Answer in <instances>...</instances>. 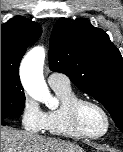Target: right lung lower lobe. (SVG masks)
<instances>
[{
	"instance_id": "right-lung-lower-lobe-1",
	"label": "right lung lower lobe",
	"mask_w": 123,
	"mask_h": 152,
	"mask_svg": "<svg viewBox=\"0 0 123 152\" xmlns=\"http://www.w3.org/2000/svg\"><path fill=\"white\" fill-rule=\"evenodd\" d=\"M7 121L6 120H1V125H6Z\"/></svg>"
}]
</instances>
